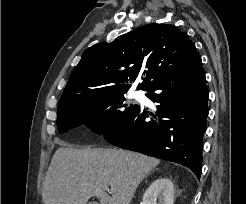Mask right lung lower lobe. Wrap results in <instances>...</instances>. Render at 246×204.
<instances>
[{
    "mask_svg": "<svg viewBox=\"0 0 246 204\" xmlns=\"http://www.w3.org/2000/svg\"><path fill=\"white\" fill-rule=\"evenodd\" d=\"M156 114L138 106L118 128L104 133L109 143L176 162L201 176L203 134L209 94L202 61L174 71L150 86ZM149 119H146L148 118Z\"/></svg>",
    "mask_w": 246,
    "mask_h": 204,
    "instance_id": "1",
    "label": "right lung lower lobe"
}]
</instances>
